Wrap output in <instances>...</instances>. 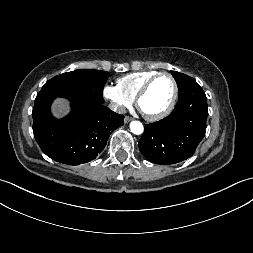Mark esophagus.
Masks as SVG:
<instances>
[{"instance_id":"1","label":"esophagus","mask_w":253,"mask_h":253,"mask_svg":"<svg viewBox=\"0 0 253 253\" xmlns=\"http://www.w3.org/2000/svg\"><path fill=\"white\" fill-rule=\"evenodd\" d=\"M132 119H133V118L130 117V116H125L124 122H125V123H128V122H130Z\"/></svg>"}]
</instances>
